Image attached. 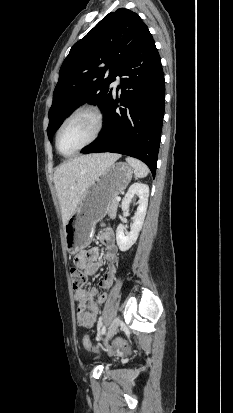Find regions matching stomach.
Wrapping results in <instances>:
<instances>
[{"mask_svg":"<svg viewBox=\"0 0 233 413\" xmlns=\"http://www.w3.org/2000/svg\"><path fill=\"white\" fill-rule=\"evenodd\" d=\"M132 175L133 169L129 164L114 163L103 170L87 188L64 226L66 247L70 254L89 245L96 223L107 213L108 202L127 187Z\"/></svg>","mask_w":233,"mask_h":413,"instance_id":"stomach-1","label":"stomach"}]
</instances>
